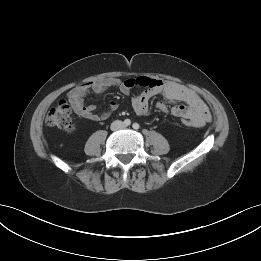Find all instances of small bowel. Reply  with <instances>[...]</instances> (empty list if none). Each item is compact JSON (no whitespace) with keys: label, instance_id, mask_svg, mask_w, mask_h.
I'll use <instances>...</instances> for the list:
<instances>
[{"label":"small bowel","instance_id":"obj_1","mask_svg":"<svg viewBox=\"0 0 261 261\" xmlns=\"http://www.w3.org/2000/svg\"><path fill=\"white\" fill-rule=\"evenodd\" d=\"M135 87L144 88L140 95L132 98V108L138 116L147 115L150 100L154 96L160 95L163 101L158 102L156 107L162 112L170 111L176 117L189 119L194 127H202L211 120L207 105L196 92L176 82L147 76L127 79L109 77L90 81L74 87L67 96L73 110L78 115L89 120L102 121L117 110V102L111 101L107 110L97 113L96 106L86 105L84 98L89 94L100 95L109 88H118L123 94L128 95ZM176 102H181V104L168 107V104Z\"/></svg>","mask_w":261,"mask_h":261}]
</instances>
